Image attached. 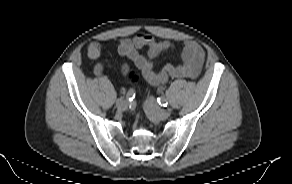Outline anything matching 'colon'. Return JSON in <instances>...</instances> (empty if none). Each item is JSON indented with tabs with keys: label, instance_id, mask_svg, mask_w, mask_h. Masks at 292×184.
Returning <instances> with one entry per match:
<instances>
[{
	"label": "colon",
	"instance_id": "5ec220e1",
	"mask_svg": "<svg viewBox=\"0 0 292 184\" xmlns=\"http://www.w3.org/2000/svg\"><path fill=\"white\" fill-rule=\"evenodd\" d=\"M102 46L99 44V43H92L89 45L88 47V51H87V54H88V57L91 59V60H97L101 57V54H102ZM125 73L127 75V77L132 81V82H135L137 81V76L134 72L130 71V70H125Z\"/></svg>",
	"mask_w": 292,
	"mask_h": 184
}]
</instances>
